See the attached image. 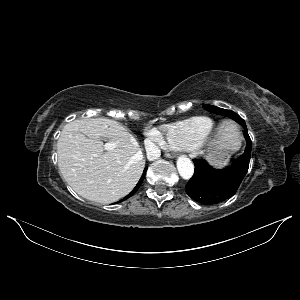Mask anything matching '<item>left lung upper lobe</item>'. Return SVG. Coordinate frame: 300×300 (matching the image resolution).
I'll list each match as a JSON object with an SVG mask.
<instances>
[{
	"mask_svg": "<svg viewBox=\"0 0 300 300\" xmlns=\"http://www.w3.org/2000/svg\"><path fill=\"white\" fill-rule=\"evenodd\" d=\"M203 107L207 111H210V112H213V113H216V114H220V115H224V116H227V117L235 120L236 122L241 124L244 127V129L246 127L245 121L238 114L234 113L231 110H226V109H222V108H219V107H215V106H212V105H206V104Z\"/></svg>",
	"mask_w": 300,
	"mask_h": 300,
	"instance_id": "obj_1",
	"label": "left lung upper lobe"
}]
</instances>
